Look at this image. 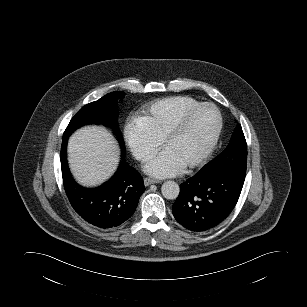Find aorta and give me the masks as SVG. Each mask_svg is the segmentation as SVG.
Returning a JSON list of instances; mask_svg holds the SVG:
<instances>
[{"label": "aorta", "instance_id": "762f6f07", "mask_svg": "<svg viewBox=\"0 0 307 307\" xmlns=\"http://www.w3.org/2000/svg\"><path fill=\"white\" fill-rule=\"evenodd\" d=\"M162 195L169 200L176 199L179 195V185L174 181H166L161 187Z\"/></svg>", "mask_w": 307, "mask_h": 307}]
</instances>
